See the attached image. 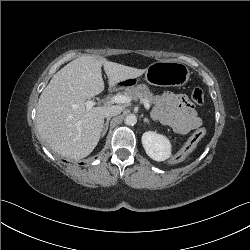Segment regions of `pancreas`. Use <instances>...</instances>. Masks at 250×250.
I'll use <instances>...</instances> for the list:
<instances>
[{"instance_id": "pancreas-1", "label": "pancreas", "mask_w": 250, "mask_h": 250, "mask_svg": "<svg viewBox=\"0 0 250 250\" xmlns=\"http://www.w3.org/2000/svg\"><path fill=\"white\" fill-rule=\"evenodd\" d=\"M123 94L130 96L134 100L146 99L150 103H154L155 100V96L145 84H139L135 87L126 88L123 91Z\"/></svg>"}]
</instances>
